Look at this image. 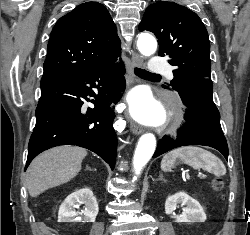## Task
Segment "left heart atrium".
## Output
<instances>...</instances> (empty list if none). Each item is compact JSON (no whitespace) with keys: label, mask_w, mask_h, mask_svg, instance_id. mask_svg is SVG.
I'll return each mask as SVG.
<instances>
[{"label":"left heart atrium","mask_w":250,"mask_h":235,"mask_svg":"<svg viewBox=\"0 0 250 235\" xmlns=\"http://www.w3.org/2000/svg\"><path fill=\"white\" fill-rule=\"evenodd\" d=\"M131 115L146 124H159L164 119L162 107L144 90H135L128 98Z\"/></svg>","instance_id":"39dd6f15"}]
</instances>
